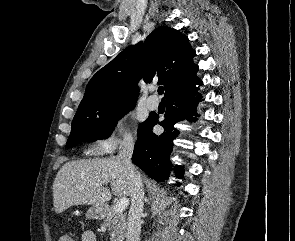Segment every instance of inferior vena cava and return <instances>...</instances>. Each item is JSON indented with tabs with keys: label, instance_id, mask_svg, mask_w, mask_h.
Masks as SVG:
<instances>
[{
	"label": "inferior vena cava",
	"instance_id": "inferior-vena-cava-1",
	"mask_svg": "<svg viewBox=\"0 0 295 241\" xmlns=\"http://www.w3.org/2000/svg\"><path fill=\"white\" fill-rule=\"evenodd\" d=\"M134 149L132 137H126L119 146L118 158L127 168L131 184V207L128 214L126 241H139L144 190L140 173L131 162Z\"/></svg>",
	"mask_w": 295,
	"mask_h": 241
}]
</instances>
